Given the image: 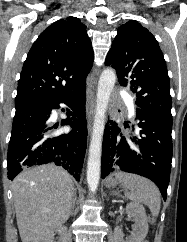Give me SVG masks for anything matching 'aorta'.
<instances>
[{"instance_id":"aorta-1","label":"aorta","mask_w":187,"mask_h":242,"mask_svg":"<svg viewBox=\"0 0 187 242\" xmlns=\"http://www.w3.org/2000/svg\"><path fill=\"white\" fill-rule=\"evenodd\" d=\"M115 82L116 73L111 68H107L101 73L98 82L96 112L87 163V183L92 193L96 192L100 180L105 114Z\"/></svg>"}]
</instances>
